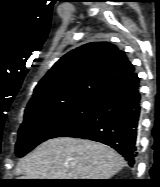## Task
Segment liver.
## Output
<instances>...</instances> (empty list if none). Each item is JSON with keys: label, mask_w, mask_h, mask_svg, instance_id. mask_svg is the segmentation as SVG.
Returning a JSON list of instances; mask_svg holds the SVG:
<instances>
[{"label": "liver", "mask_w": 160, "mask_h": 187, "mask_svg": "<svg viewBox=\"0 0 160 187\" xmlns=\"http://www.w3.org/2000/svg\"><path fill=\"white\" fill-rule=\"evenodd\" d=\"M125 161L111 147L91 140L58 137L40 144L16 168L20 179H109Z\"/></svg>", "instance_id": "obj_1"}]
</instances>
